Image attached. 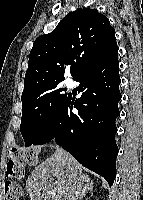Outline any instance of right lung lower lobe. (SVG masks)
Here are the masks:
<instances>
[{
	"label": "right lung lower lobe",
	"mask_w": 143,
	"mask_h": 200,
	"mask_svg": "<svg viewBox=\"0 0 143 200\" xmlns=\"http://www.w3.org/2000/svg\"><path fill=\"white\" fill-rule=\"evenodd\" d=\"M79 99L68 95L33 145L55 140L86 168L112 185L116 177L115 120L120 114L118 47L86 66L75 78ZM78 113L74 114L72 109Z\"/></svg>",
	"instance_id": "obj_1"
}]
</instances>
